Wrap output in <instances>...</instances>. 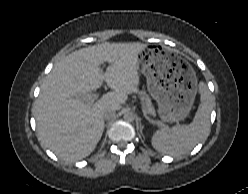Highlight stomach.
I'll return each instance as SVG.
<instances>
[{
    "instance_id": "obj_1",
    "label": "stomach",
    "mask_w": 248,
    "mask_h": 194,
    "mask_svg": "<svg viewBox=\"0 0 248 194\" xmlns=\"http://www.w3.org/2000/svg\"><path fill=\"white\" fill-rule=\"evenodd\" d=\"M137 66L147 79L150 95L158 103L161 119L170 123L183 120L197 93V77L192 66L159 45L141 50Z\"/></svg>"
}]
</instances>
